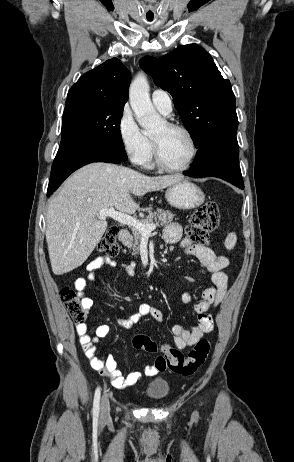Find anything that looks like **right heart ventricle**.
Returning a JSON list of instances; mask_svg holds the SVG:
<instances>
[{
  "label": "right heart ventricle",
  "mask_w": 294,
  "mask_h": 462,
  "mask_svg": "<svg viewBox=\"0 0 294 462\" xmlns=\"http://www.w3.org/2000/svg\"><path fill=\"white\" fill-rule=\"evenodd\" d=\"M150 145H151L150 153H149V156H148L147 161L145 163L148 166H152V162H153V145H152L151 141H150Z\"/></svg>",
  "instance_id": "1"
}]
</instances>
